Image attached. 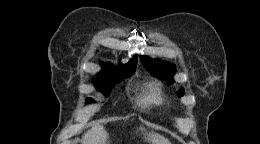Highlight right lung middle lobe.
Listing matches in <instances>:
<instances>
[{"label": "right lung middle lobe", "mask_w": 260, "mask_h": 144, "mask_svg": "<svg viewBox=\"0 0 260 144\" xmlns=\"http://www.w3.org/2000/svg\"><path fill=\"white\" fill-rule=\"evenodd\" d=\"M135 71H130L124 74L120 75H110L105 77H99L98 80H94L95 87L108 96L110 93L111 87L116 84L117 82H120L124 78L130 77ZM88 103L94 102L91 98L87 99Z\"/></svg>", "instance_id": "obj_1"}]
</instances>
